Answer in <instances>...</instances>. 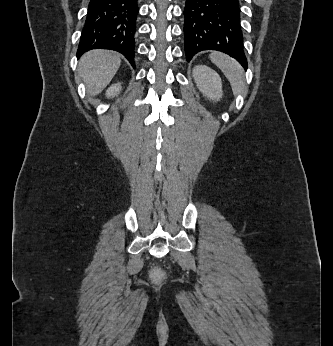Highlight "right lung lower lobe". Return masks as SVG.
<instances>
[{"label": "right lung lower lobe", "instance_id": "right-lung-lower-lobe-1", "mask_svg": "<svg viewBox=\"0 0 333 346\" xmlns=\"http://www.w3.org/2000/svg\"><path fill=\"white\" fill-rule=\"evenodd\" d=\"M137 0H90L77 57L92 49L123 54L134 67Z\"/></svg>", "mask_w": 333, "mask_h": 346}]
</instances>
